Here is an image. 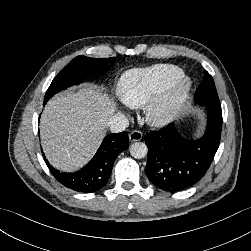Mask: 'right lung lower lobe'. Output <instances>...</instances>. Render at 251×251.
I'll return each instance as SVG.
<instances>
[{"label":"right lung lower lobe","mask_w":251,"mask_h":251,"mask_svg":"<svg viewBox=\"0 0 251 251\" xmlns=\"http://www.w3.org/2000/svg\"><path fill=\"white\" fill-rule=\"evenodd\" d=\"M127 148L128 133L124 131L105 137L93 159L79 171L60 172L52 167L46 159L45 162L53 176L63 186L76 192L92 193L106 185L115 159L121 151ZM42 154L45 158L43 152Z\"/></svg>","instance_id":"1"}]
</instances>
